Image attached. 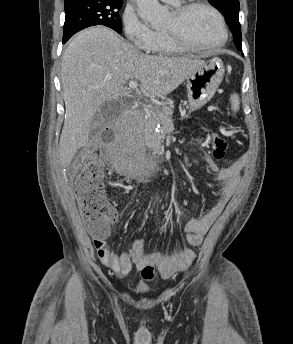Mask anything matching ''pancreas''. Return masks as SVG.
I'll use <instances>...</instances> for the list:
<instances>
[{"label":"pancreas","instance_id":"cf45deb5","mask_svg":"<svg viewBox=\"0 0 293 344\" xmlns=\"http://www.w3.org/2000/svg\"><path fill=\"white\" fill-rule=\"evenodd\" d=\"M171 115L172 110L166 105H163L161 108L148 106L137 130H123L120 135L122 138L133 140L135 134H143L145 131H154L157 124L164 126L170 124L172 121Z\"/></svg>","mask_w":293,"mask_h":344}]
</instances>
